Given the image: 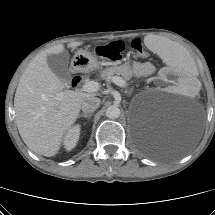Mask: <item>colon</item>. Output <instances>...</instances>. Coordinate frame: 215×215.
I'll use <instances>...</instances> for the list:
<instances>
[{
	"instance_id": "5ec220e1",
	"label": "colon",
	"mask_w": 215,
	"mask_h": 215,
	"mask_svg": "<svg viewBox=\"0 0 215 215\" xmlns=\"http://www.w3.org/2000/svg\"><path fill=\"white\" fill-rule=\"evenodd\" d=\"M131 48L139 56L145 55V50L140 39L136 38L131 41ZM125 49V44L122 41H113L105 45L97 46L95 49L99 57L117 61L121 59V55Z\"/></svg>"
}]
</instances>
